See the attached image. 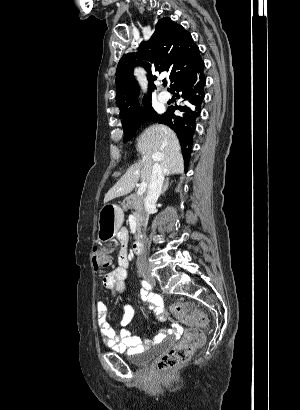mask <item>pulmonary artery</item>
I'll return each instance as SVG.
<instances>
[{
  "instance_id": "e3ab8cb5",
  "label": "pulmonary artery",
  "mask_w": 300,
  "mask_h": 410,
  "mask_svg": "<svg viewBox=\"0 0 300 410\" xmlns=\"http://www.w3.org/2000/svg\"><path fill=\"white\" fill-rule=\"evenodd\" d=\"M158 98L161 103H166L170 99V94L167 91H161Z\"/></svg>"
}]
</instances>
